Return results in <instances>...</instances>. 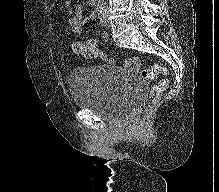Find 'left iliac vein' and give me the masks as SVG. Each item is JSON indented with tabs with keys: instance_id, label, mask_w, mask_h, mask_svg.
Segmentation results:
<instances>
[{
	"instance_id": "left-iliac-vein-1",
	"label": "left iliac vein",
	"mask_w": 219,
	"mask_h": 192,
	"mask_svg": "<svg viewBox=\"0 0 219 192\" xmlns=\"http://www.w3.org/2000/svg\"><path fill=\"white\" fill-rule=\"evenodd\" d=\"M101 23L103 26H106L108 28L111 27V22L108 19V14H107V10L105 9L104 12L102 13L101 17H100Z\"/></svg>"
}]
</instances>
